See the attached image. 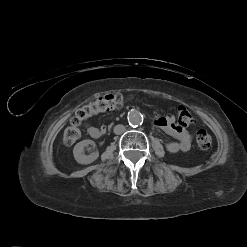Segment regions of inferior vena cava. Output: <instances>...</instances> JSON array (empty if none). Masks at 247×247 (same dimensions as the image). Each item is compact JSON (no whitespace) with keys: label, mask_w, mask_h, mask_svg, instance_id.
<instances>
[{"label":"inferior vena cava","mask_w":247,"mask_h":247,"mask_svg":"<svg viewBox=\"0 0 247 247\" xmlns=\"http://www.w3.org/2000/svg\"><path fill=\"white\" fill-rule=\"evenodd\" d=\"M126 131V128L124 125L118 124L114 127V133L117 135H121Z\"/></svg>","instance_id":"602c4592"}]
</instances>
